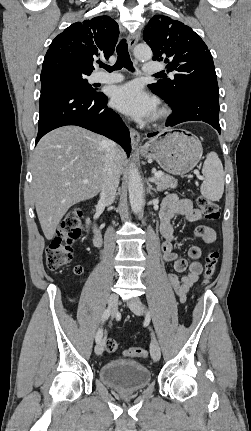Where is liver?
Returning <instances> with one entry per match:
<instances>
[{
    "instance_id": "1",
    "label": "liver",
    "mask_w": 251,
    "mask_h": 431,
    "mask_svg": "<svg viewBox=\"0 0 251 431\" xmlns=\"http://www.w3.org/2000/svg\"><path fill=\"white\" fill-rule=\"evenodd\" d=\"M106 142L105 137L78 126L60 127L39 141L32 161V193L46 239L53 238L69 208L101 191ZM116 156L121 173L124 154L120 148Z\"/></svg>"
}]
</instances>
